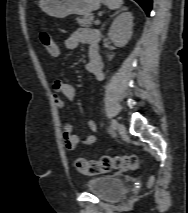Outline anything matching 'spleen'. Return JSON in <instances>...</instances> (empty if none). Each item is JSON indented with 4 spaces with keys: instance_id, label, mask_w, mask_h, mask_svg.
<instances>
[{
    "instance_id": "3e777b00",
    "label": "spleen",
    "mask_w": 188,
    "mask_h": 213,
    "mask_svg": "<svg viewBox=\"0 0 188 213\" xmlns=\"http://www.w3.org/2000/svg\"><path fill=\"white\" fill-rule=\"evenodd\" d=\"M122 4L123 0H106V5L112 10L120 8Z\"/></svg>"
}]
</instances>
